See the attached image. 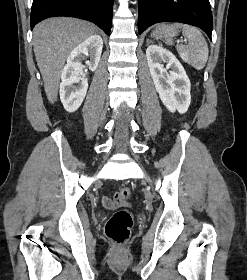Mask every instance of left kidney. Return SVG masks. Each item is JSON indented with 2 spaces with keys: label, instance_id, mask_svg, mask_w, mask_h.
<instances>
[{
  "label": "left kidney",
  "instance_id": "1",
  "mask_svg": "<svg viewBox=\"0 0 247 280\" xmlns=\"http://www.w3.org/2000/svg\"><path fill=\"white\" fill-rule=\"evenodd\" d=\"M146 58L162 103L172 113L176 110L186 113L191 102V84L181 63L173 53L156 45L147 48ZM162 62L166 63V68Z\"/></svg>",
  "mask_w": 247,
  "mask_h": 280
}]
</instances>
